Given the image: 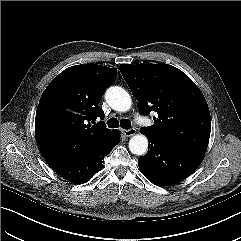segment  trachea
<instances>
[{
    "label": "trachea",
    "mask_w": 241,
    "mask_h": 241,
    "mask_svg": "<svg viewBox=\"0 0 241 241\" xmlns=\"http://www.w3.org/2000/svg\"><path fill=\"white\" fill-rule=\"evenodd\" d=\"M119 126L123 129H130L131 121L128 119H121L119 122L116 118H111L108 121L109 128H118Z\"/></svg>",
    "instance_id": "obj_1"
}]
</instances>
